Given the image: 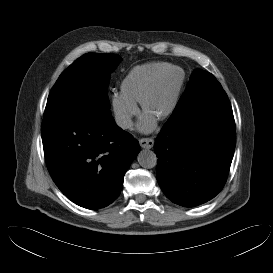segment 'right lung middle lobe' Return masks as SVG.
I'll list each match as a JSON object with an SVG mask.
<instances>
[{
  "instance_id": "obj_1",
  "label": "right lung middle lobe",
  "mask_w": 273,
  "mask_h": 273,
  "mask_svg": "<svg viewBox=\"0 0 273 273\" xmlns=\"http://www.w3.org/2000/svg\"><path fill=\"white\" fill-rule=\"evenodd\" d=\"M122 58L115 54H84L59 76L47 99L44 116L66 105L89 104L110 108V74Z\"/></svg>"
}]
</instances>
